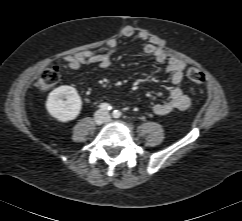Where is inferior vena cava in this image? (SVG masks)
I'll list each match as a JSON object with an SVG mask.
<instances>
[{"label": "inferior vena cava", "instance_id": "1", "mask_svg": "<svg viewBox=\"0 0 242 221\" xmlns=\"http://www.w3.org/2000/svg\"><path fill=\"white\" fill-rule=\"evenodd\" d=\"M99 113H101L102 115H104V118L101 120L102 122H106L109 120L110 116L108 114V112L106 111H100Z\"/></svg>", "mask_w": 242, "mask_h": 221}]
</instances>
